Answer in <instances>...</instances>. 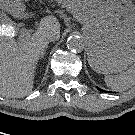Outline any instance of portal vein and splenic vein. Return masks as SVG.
Returning <instances> with one entry per match:
<instances>
[{
	"mask_svg": "<svg viewBox=\"0 0 135 135\" xmlns=\"http://www.w3.org/2000/svg\"><path fill=\"white\" fill-rule=\"evenodd\" d=\"M0 35H6V36H9V37H14V31L9 26L2 27V28H0ZM28 36H30L29 30H27V29L21 30L20 37H28Z\"/></svg>",
	"mask_w": 135,
	"mask_h": 135,
	"instance_id": "18ae733b",
	"label": "portal vein and splenic vein"
}]
</instances>
